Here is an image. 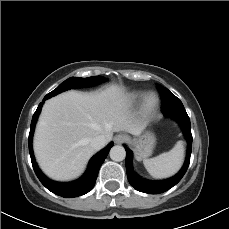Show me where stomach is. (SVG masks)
Masks as SVG:
<instances>
[{
  "label": "stomach",
  "instance_id": "stomach-1",
  "mask_svg": "<svg viewBox=\"0 0 229 229\" xmlns=\"http://www.w3.org/2000/svg\"><path fill=\"white\" fill-rule=\"evenodd\" d=\"M131 144L133 145L136 159L140 161L152 154L156 144V137L151 132H145L143 135L131 140Z\"/></svg>",
  "mask_w": 229,
  "mask_h": 229
}]
</instances>
